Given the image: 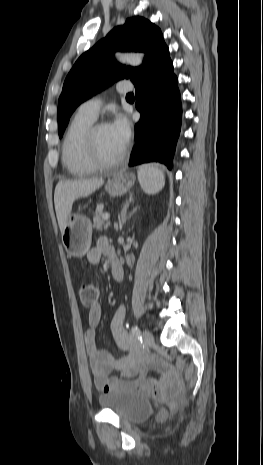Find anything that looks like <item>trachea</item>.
I'll use <instances>...</instances> for the list:
<instances>
[{"label": "trachea", "instance_id": "obj_1", "mask_svg": "<svg viewBox=\"0 0 263 465\" xmlns=\"http://www.w3.org/2000/svg\"><path fill=\"white\" fill-rule=\"evenodd\" d=\"M127 97H134L133 93L127 94Z\"/></svg>", "mask_w": 263, "mask_h": 465}]
</instances>
